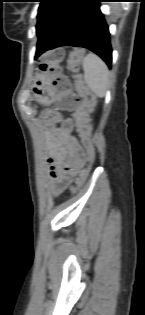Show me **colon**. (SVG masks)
Wrapping results in <instances>:
<instances>
[{
	"label": "colon",
	"mask_w": 145,
	"mask_h": 315,
	"mask_svg": "<svg viewBox=\"0 0 145 315\" xmlns=\"http://www.w3.org/2000/svg\"><path fill=\"white\" fill-rule=\"evenodd\" d=\"M83 58L81 51H73L68 63L73 72H77ZM63 60L62 50L47 52L40 60V70L51 76L58 109L73 111L77 132L82 144L87 151L91 162L95 159V148L91 141L90 113L95 106L94 95L77 80V92L73 91L68 78L62 73L61 62Z\"/></svg>",
	"instance_id": "1"
}]
</instances>
